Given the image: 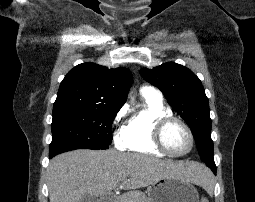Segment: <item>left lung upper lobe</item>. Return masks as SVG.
Wrapping results in <instances>:
<instances>
[{"label":"left lung upper lobe","instance_id":"5c2ea615","mask_svg":"<svg viewBox=\"0 0 255 202\" xmlns=\"http://www.w3.org/2000/svg\"><path fill=\"white\" fill-rule=\"evenodd\" d=\"M140 74L163 92L169 105L189 125L201 160L214 161L209 103L199 78L188 68L174 62L153 69L143 68Z\"/></svg>","mask_w":255,"mask_h":202}]
</instances>
